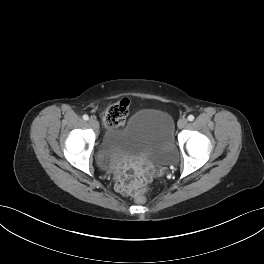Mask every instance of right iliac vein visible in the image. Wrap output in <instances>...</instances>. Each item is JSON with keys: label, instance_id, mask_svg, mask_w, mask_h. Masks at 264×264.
<instances>
[{"label": "right iliac vein", "instance_id": "63e3f726", "mask_svg": "<svg viewBox=\"0 0 264 264\" xmlns=\"http://www.w3.org/2000/svg\"><path fill=\"white\" fill-rule=\"evenodd\" d=\"M89 124H90L91 127H93L95 130H98V128H99V124H98V122H97L95 119L91 118V119L89 120Z\"/></svg>", "mask_w": 264, "mask_h": 264}]
</instances>
